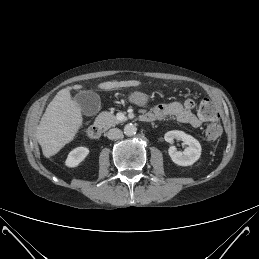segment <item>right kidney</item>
Masks as SVG:
<instances>
[{
    "label": "right kidney",
    "mask_w": 259,
    "mask_h": 259,
    "mask_svg": "<svg viewBox=\"0 0 259 259\" xmlns=\"http://www.w3.org/2000/svg\"><path fill=\"white\" fill-rule=\"evenodd\" d=\"M89 154V149L86 147H77L73 149L65 161L67 167H77Z\"/></svg>",
    "instance_id": "obj_1"
}]
</instances>
